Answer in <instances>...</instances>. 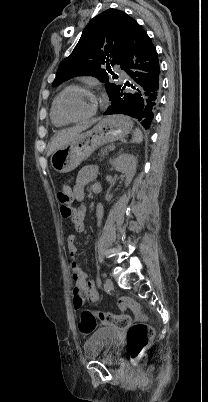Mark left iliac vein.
Instances as JSON below:
<instances>
[{
	"label": "left iliac vein",
	"instance_id": "obj_1",
	"mask_svg": "<svg viewBox=\"0 0 208 402\" xmlns=\"http://www.w3.org/2000/svg\"><path fill=\"white\" fill-rule=\"evenodd\" d=\"M104 286H105L106 291H108V292L112 291L113 288H114L113 282H112V280L109 279V278H107V279L105 280Z\"/></svg>",
	"mask_w": 208,
	"mask_h": 402
}]
</instances>
